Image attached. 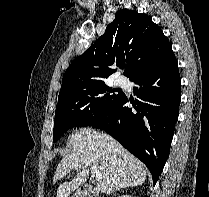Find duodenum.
Returning <instances> with one entry per match:
<instances>
[{
  "instance_id": "1",
  "label": "duodenum",
  "mask_w": 209,
  "mask_h": 197,
  "mask_svg": "<svg viewBox=\"0 0 209 197\" xmlns=\"http://www.w3.org/2000/svg\"><path fill=\"white\" fill-rule=\"evenodd\" d=\"M81 194L86 197H100L96 189L90 185H84L81 187Z\"/></svg>"
}]
</instances>
